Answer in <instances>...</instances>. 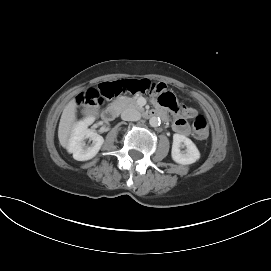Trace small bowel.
<instances>
[{"label":"small bowel","instance_id":"c3829d8e","mask_svg":"<svg viewBox=\"0 0 271 271\" xmlns=\"http://www.w3.org/2000/svg\"><path fill=\"white\" fill-rule=\"evenodd\" d=\"M155 86L157 89H166L168 86V83L166 80H157L155 83ZM193 112L190 110V114H192ZM173 129L184 136H188L190 134V126L188 124V122L182 118V117H178L174 124H173Z\"/></svg>","mask_w":271,"mask_h":271}]
</instances>
